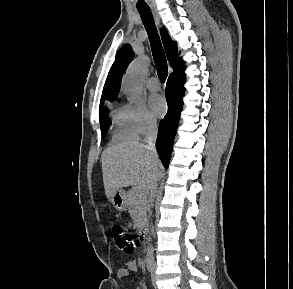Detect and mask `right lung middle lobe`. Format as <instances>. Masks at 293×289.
<instances>
[{
	"instance_id": "obj_1",
	"label": "right lung middle lobe",
	"mask_w": 293,
	"mask_h": 289,
	"mask_svg": "<svg viewBox=\"0 0 293 289\" xmlns=\"http://www.w3.org/2000/svg\"><path fill=\"white\" fill-rule=\"evenodd\" d=\"M103 105V101H101L100 103V110H99V114H100V126H101V134L104 135L107 132L106 129V124L108 123V118H109V111L108 110H104L102 111Z\"/></svg>"
}]
</instances>
